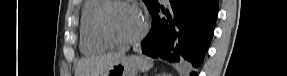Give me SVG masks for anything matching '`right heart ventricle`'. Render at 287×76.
Wrapping results in <instances>:
<instances>
[{
	"instance_id": "right-heart-ventricle-1",
	"label": "right heart ventricle",
	"mask_w": 287,
	"mask_h": 76,
	"mask_svg": "<svg viewBox=\"0 0 287 76\" xmlns=\"http://www.w3.org/2000/svg\"><path fill=\"white\" fill-rule=\"evenodd\" d=\"M108 0H88L85 2L80 19V49L83 53H99L110 45L104 42L96 31V17Z\"/></svg>"
}]
</instances>
